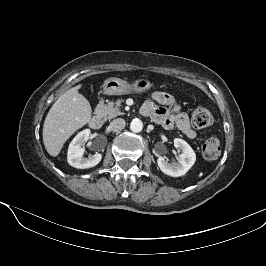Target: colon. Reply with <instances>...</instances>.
<instances>
[{
  "instance_id": "1",
  "label": "colon",
  "mask_w": 266,
  "mask_h": 266,
  "mask_svg": "<svg viewBox=\"0 0 266 266\" xmlns=\"http://www.w3.org/2000/svg\"><path fill=\"white\" fill-rule=\"evenodd\" d=\"M212 115L203 106L197 107L192 113V124L196 128H205L211 125ZM220 140L217 136H209L202 145V154L208 160L216 159L220 154Z\"/></svg>"
}]
</instances>
